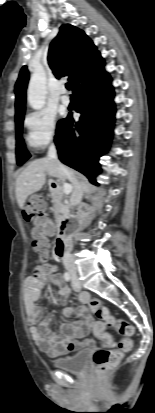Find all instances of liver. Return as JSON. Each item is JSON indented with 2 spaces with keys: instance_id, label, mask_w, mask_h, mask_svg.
Instances as JSON below:
<instances>
[{
  "instance_id": "6515ba94",
  "label": "liver",
  "mask_w": 155,
  "mask_h": 413,
  "mask_svg": "<svg viewBox=\"0 0 155 413\" xmlns=\"http://www.w3.org/2000/svg\"><path fill=\"white\" fill-rule=\"evenodd\" d=\"M73 177L81 185L82 192H89L92 187L83 180H78L77 173L70 170ZM49 175L55 177L58 181L64 182L66 177L63 176L57 166H55L49 159L40 158L32 161L18 176L15 184L16 199L19 207H24L25 201L29 195L41 190L45 184V177ZM73 188V184L71 185Z\"/></svg>"
}]
</instances>
